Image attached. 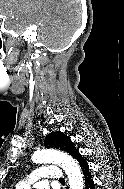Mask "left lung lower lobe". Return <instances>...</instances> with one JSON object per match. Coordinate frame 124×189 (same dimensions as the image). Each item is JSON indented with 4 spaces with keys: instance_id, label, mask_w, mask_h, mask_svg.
<instances>
[{
    "instance_id": "1",
    "label": "left lung lower lobe",
    "mask_w": 124,
    "mask_h": 189,
    "mask_svg": "<svg viewBox=\"0 0 124 189\" xmlns=\"http://www.w3.org/2000/svg\"><path fill=\"white\" fill-rule=\"evenodd\" d=\"M75 159L78 161V164L82 170V173L84 175V181H85V189H95V185L92 179V175L88 166L87 161L84 159V157L81 154H78Z\"/></svg>"
}]
</instances>
